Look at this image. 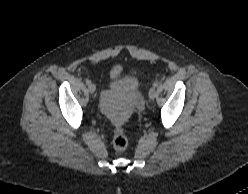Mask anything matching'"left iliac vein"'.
Returning <instances> with one entry per match:
<instances>
[{
    "mask_svg": "<svg viewBox=\"0 0 248 194\" xmlns=\"http://www.w3.org/2000/svg\"><path fill=\"white\" fill-rule=\"evenodd\" d=\"M156 96H157V92H156L155 88H151L149 90V98L151 100H154L156 98Z\"/></svg>",
    "mask_w": 248,
    "mask_h": 194,
    "instance_id": "4c4485c4",
    "label": "left iliac vein"
}]
</instances>
